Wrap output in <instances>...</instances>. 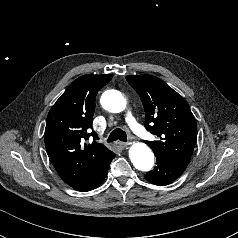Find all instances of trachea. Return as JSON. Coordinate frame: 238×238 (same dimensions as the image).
Instances as JSON below:
<instances>
[{"label": "trachea", "mask_w": 238, "mask_h": 238, "mask_svg": "<svg viewBox=\"0 0 238 238\" xmlns=\"http://www.w3.org/2000/svg\"><path fill=\"white\" fill-rule=\"evenodd\" d=\"M116 140L127 142V135L120 128H117L111 132V134L109 135V137L107 139V142H113Z\"/></svg>", "instance_id": "3493384b"}]
</instances>
